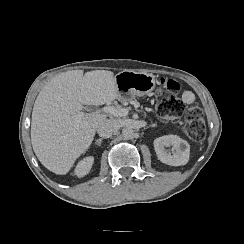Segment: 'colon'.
<instances>
[{"instance_id": "1", "label": "colon", "mask_w": 244, "mask_h": 244, "mask_svg": "<svg viewBox=\"0 0 244 244\" xmlns=\"http://www.w3.org/2000/svg\"><path fill=\"white\" fill-rule=\"evenodd\" d=\"M158 92L157 113L162 122L171 120L174 126L182 123L181 116L186 120V133L194 142H201L205 138L206 126L201 107L191 101L188 105L180 96V85L175 80L163 79Z\"/></svg>"}]
</instances>
